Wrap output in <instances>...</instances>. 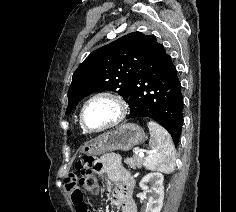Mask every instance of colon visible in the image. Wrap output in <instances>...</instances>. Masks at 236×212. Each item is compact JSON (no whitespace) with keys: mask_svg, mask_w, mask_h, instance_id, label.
I'll return each instance as SVG.
<instances>
[{"mask_svg":"<svg viewBox=\"0 0 236 212\" xmlns=\"http://www.w3.org/2000/svg\"><path fill=\"white\" fill-rule=\"evenodd\" d=\"M94 161L90 158L80 161L77 165V170L80 172V178L78 180L79 186L92 194H99L100 184L95 175L92 165Z\"/></svg>","mask_w":236,"mask_h":212,"instance_id":"obj_1","label":"colon"}]
</instances>
